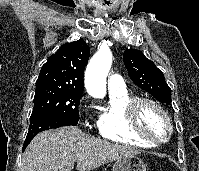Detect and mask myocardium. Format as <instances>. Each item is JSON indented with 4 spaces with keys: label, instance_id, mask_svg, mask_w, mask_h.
<instances>
[{
    "label": "myocardium",
    "instance_id": "1",
    "mask_svg": "<svg viewBox=\"0 0 199 171\" xmlns=\"http://www.w3.org/2000/svg\"><path fill=\"white\" fill-rule=\"evenodd\" d=\"M146 106H151L156 109L165 119L168 133L164 138H159L150 134L142 124V115L144 108ZM128 117L132 131L139 137L154 143L155 145H160L168 142L174 132V126L172 119L166 109L156 100L147 97L135 98L128 106Z\"/></svg>",
    "mask_w": 199,
    "mask_h": 171
}]
</instances>
